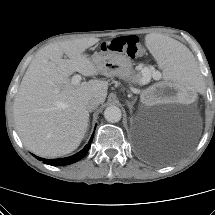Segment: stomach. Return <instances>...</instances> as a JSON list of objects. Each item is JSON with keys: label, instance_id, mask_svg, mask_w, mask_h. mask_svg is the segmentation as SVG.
<instances>
[{"label": "stomach", "instance_id": "obj_1", "mask_svg": "<svg viewBox=\"0 0 215 215\" xmlns=\"http://www.w3.org/2000/svg\"><path fill=\"white\" fill-rule=\"evenodd\" d=\"M91 60L102 75L117 76L133 85L139 82V77L133 69L131 59L124 54L101 50L94 53Z\"/></svg>", "mask_w": 215, "mask_h": 215}]
</instances>
